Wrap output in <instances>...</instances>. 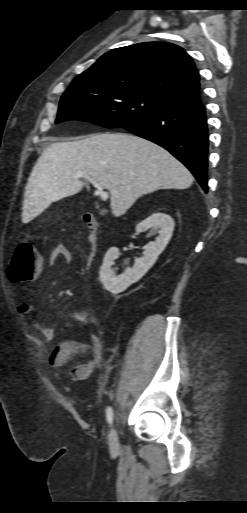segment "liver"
<instances>
[{
  "instance_id": "liver-1",
  "label": "liver",
  "mask_w": 247,
  "mask_h": 513,
  "mask_svg": "<svg viewBox=\"0 0 247 513\" xmlns=\"http://www.w3.org/2000/svg\"><path fill=\"white\" fill-rule=\"evenodd\" d=\"M83 172L106 188L111 209L120 217L144 194L160 189H187L189 170L161 146L126 133H97L43 150L26 187L23 215L35 217L52 202L81 191L74 179Z\"/></svg>"
}]
</instances>
